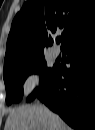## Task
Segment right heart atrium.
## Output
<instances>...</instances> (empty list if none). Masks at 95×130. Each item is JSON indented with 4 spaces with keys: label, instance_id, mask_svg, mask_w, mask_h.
<instances>
[{
    "label": "right heart atrium",
    "instance_id": "1",
    "mask_svg": "<svg viewBox=\"0 0 95 130\" xmlns=\"http://www.w3.org/2000/svg\"><path fill=\"white\" fill-rule=\"evenodd\" d=\"M40 74L37 71L28 72L22 80V91L25 96H30L40 88Z\"/></svg>",
    "mask_w": 95,
    "mask_h": 130
}]
</instances>
